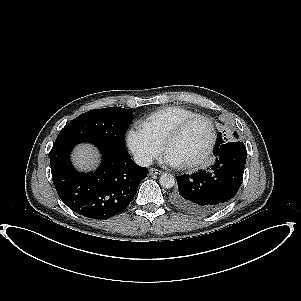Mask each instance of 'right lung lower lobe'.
<instances>
[{"instance_id":"right-lung-lower-lobe-1","label":"right lung lower lobe","mask_w":301,"mask_h":301,"mask_svg":"<svg viewBox=\"0 0 301 301\" xmlns=\"http://www.w3.org/2000/svg\"><path fill=\"white\" fill-rule=\"evenodd\" d=\"M81 142L94 144L103 156L94 173H80L71 165L70 152ZM50 164L61 200L74 212L92 219H107L123 211L148 173L147 168L131 160L124 147L100 139L54 143Z\"/></svg>"}]
</instances>
